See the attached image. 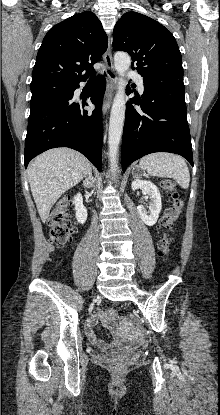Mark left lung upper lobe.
Instances as JSON below:
<instances>
[{
	"mask_svg": "<svg viewBox=\"0 0 220 415\" xmlns=\"http://www.w3.org/2000/svg\"><path fill=\"white\" fill-rule=\"evenodd\" d=\"M113 48L130 54L141 76L183 78L182 57L173 35L154 19L125 13L113 31Z\"/></svg>",
	"mask_w": 220,
	"mask_h": 415,
	"instance_id": "1",
	"label": "left lung upper lobe"
}]
</instances>
